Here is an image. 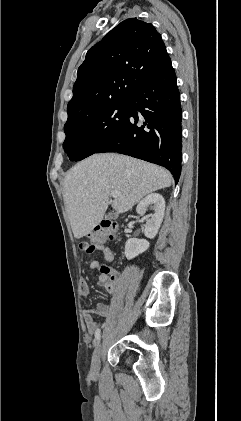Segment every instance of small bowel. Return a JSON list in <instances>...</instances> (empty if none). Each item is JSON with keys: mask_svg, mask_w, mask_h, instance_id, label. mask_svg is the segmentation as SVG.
Segmentation results:
<instances>
[{"mask_svg": "<svg viewBox=\"0 0 241 421\" xmlns=\"http://www.w3.org/2000/svg\"><path fill=\"white\" fill-rule=\"evenodd\" d=\"M97 250L101 251L106 263H110L114 259V254L112 250L105 246L99 245L97 246ZM90 269L93 271L98 272V284L104 287L109 293H114L117 289L119 283V273L115 270L111 269L110 274H105L101 271V266L98 261L93 260L90 263ZM79 293L81 297H87L89 293V286L87 281L82 280L79 284ZM110 312V306L105 303L97 304L96 308L87 309L83 312V319L87 328V331L92 334L95 333L97 329H99L100 324L93 319V315L97 314L101 317H107Z\"/></svg>", "mask_w": 241, "mask_h": 421, "instance_id": "obj_1", "label": "small bowel"}]
</instances>
